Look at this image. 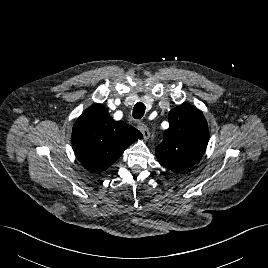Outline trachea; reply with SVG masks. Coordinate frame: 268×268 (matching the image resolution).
<instances>
[{
  "mask_svg": "<svg viewBox=\"0 0 268 268\" xmlns=\"http://www.w3.org/2000/svg\"><path fill=\"white\" fill-rule=\"evenodd\" d=\"M145 105L142 102H137L133 108V118L134 119H141L145 113Z\"/></svg>",
  "mask_w": 268,
  "mask_h": 268,
  "instance_id": "1",
  "label": "trachea"
}]
</instances>
